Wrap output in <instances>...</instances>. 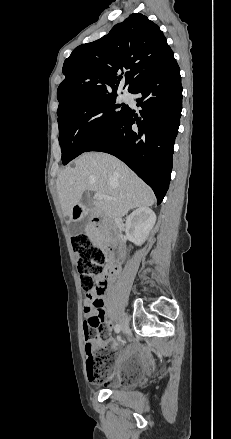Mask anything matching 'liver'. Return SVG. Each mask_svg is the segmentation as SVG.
<instances>
[{
	"label": "liver",
	"instance_id": "6515ba94",
	"mask_svg": "<svg viewBox=\"0 0 231 439\" xmlns=\"http://www.w3.org/2000/svg\"><path fill=\"white\" fill-rule=\"evenodd\" d=\"M88 189L105 198L95 202L108 218H121L134 208L154 204L155 196L127 165L106 153H85L66 167L57 178V191L63 215L72 218L73 207Z\"/></svg>",
	"mask_w": 231,
	"mask_h": 439
}]
</instances>
